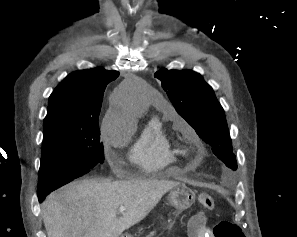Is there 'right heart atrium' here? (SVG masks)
<instances>
[{
	"label": "right heart atrium",
	"mask_w": 297,
	"mask_h": 237,
	"mask_svg": "<svg viewBox=\"0 0 297 237\" xmlns=\"http://www.w3.org/2000/svg\"><path fill=\"white\" fill-rule=\"evenodd\" d=\"M101 133L106 144L112 145L118 140L119 133L117 130V119L114 114L108 113L104 117L101 126Z\"/></svg>",
	"instance_id": "obj_1"
}]
</instances>
